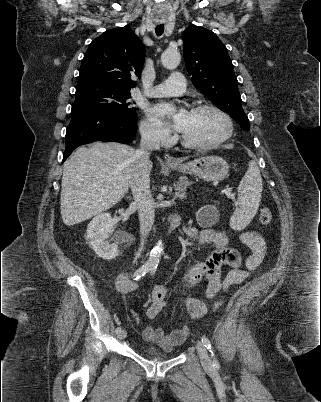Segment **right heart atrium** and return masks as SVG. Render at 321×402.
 <instances>
[{
    "mask_svg": "<svg viewBox=\"0 0 321 402\" xmlns=\"http://www.w3.org/2000/svg\"><path fill=\"white\" fill-rule=\"evenodd\" d=\"M142 137L150 143L167 145L171 142V136L167 129L161 128L145 119L140 124Z\"/></svg>",
    "mask_w": 321,
    "mask_h": 402,
    "instance_id": "right-heart-atrium-1",
    "label": "right heart atrium"
}]
</instances>
